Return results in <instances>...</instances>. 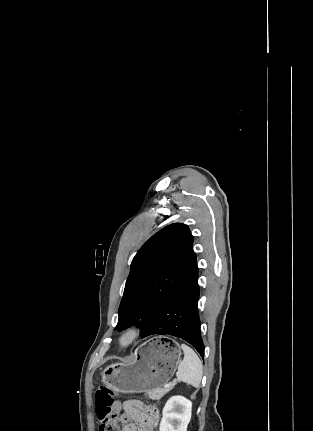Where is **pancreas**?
<instances>
[{
  "label": "pancreas",
  "instance_id": "obj_1",
  "mask_svg": "<svg viewBox=\"0 0 313 431\" xmlns=\"http://www.w3.org/2000/svg\"><path fill=\"white\" fill-rule=\"evenodd\" d=\"M173 387H174V384H170L169 386H166L161 389L148 391L147 394L149 398H151L152 400H160L165 394L171 391Z\"/></svg>",
  "mask_w": 313,
  "mask_h": 431
}]
</instances>
